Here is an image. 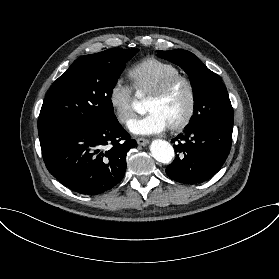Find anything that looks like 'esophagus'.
Masks as SVG:
<instances>
[{
  "label": "esophagus",
  "instance_id": "1",
  "mask_svg": "<svg viewBox=\"0 0 279 279\" xmlns=\"http://www.w3.org/2000/svg\"><path fill=\"white\" fill-rule=\"evenodd\" d=\"M137 143L141 146H146L147 144H149V140L145 138H138Z\"/></svg>",
  "mask_w": 279,
  "mask_h": 279
}]
</instances>
